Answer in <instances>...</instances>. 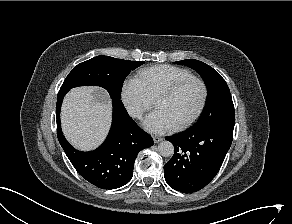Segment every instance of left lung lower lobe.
I'll return each instance as SVG.
<instances>
[{"label":"left lung lower lobe","instance_id":"obj_1","mask_svg":"<svg viewBox=\"0 0 292 224\" xmlns=\"http://www.w3.org/2000/svg\"><path fill=\"white\" fill-rule=\"evenodd\" d=\"M234 124L235 116H229L166 137L175 146L173 157L164 166L168 185L192 193L210 183L231 146Z\"/></svg>","mask_w":292,"mask_h":224}]
</instances>
